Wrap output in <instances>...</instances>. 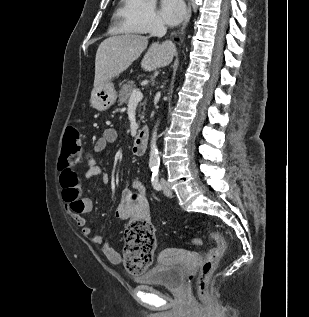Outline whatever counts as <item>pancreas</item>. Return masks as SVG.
<instances>
[{
    "label": "pancreas",
    "mask_w": 309,
    "mask_h": 317,
    "mask_svg": "<svg viewBox=\"0 0 309 317\" xmlns=\"http://www.w3.org/2000/svg\"><path fill=\"white\" fill-rule=\"evenodd\" d=\"M133 90H134V83L132 81H129L122 86L118 96V101L120 105H123L124 103L128 102V99L131 96ZM141 119H143V116H141Z\"/></svg>",
    "instance_id": "obj_1"
}]
</instances>
